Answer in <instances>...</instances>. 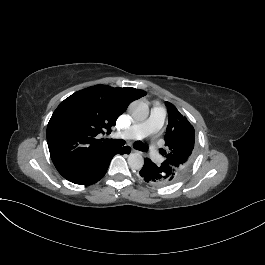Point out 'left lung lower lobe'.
Instances as JSON below:
<instances>
[{
	"mask_svg": "<svg viewBox=\"0 0 265 265\" xmlns=\"http://www.w3.org/2000/svg\"><path fill=\"white\" fill-rule=\"evenodd\" d=\"M141 178L154 186H166L178 181L175 169L163 162L154 164L149 158H145L144 166L139 172Z\"/></svg>",
	"mask_w": 265,
	"mask_h": 265,
	"instance_id": "1",
	"label": "left lung lower lobe"
}]
</instances>
